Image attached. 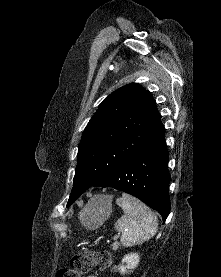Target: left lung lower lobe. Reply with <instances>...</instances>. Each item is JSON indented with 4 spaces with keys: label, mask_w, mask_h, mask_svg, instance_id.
Returning a JSON list of instances; mask_svg holds the SVG:
<instances>
[{
    "label": "left lung lower lobe",
    "mask_w": 221,
    "mask_h": 277,
    "mask_svg": "<svg viewBox=\"0 0 221 277\" xmlns=\"http://www.w3.org/2000/svg\"><path fill=\"white\" fill-rule=\"evenodd\" d=\"M164 132L163 127L153 138L91 187H112L131 194L158 211L165 221L170 212V174L167 170L169 155Z\"/></svg>",
    "instance_id": "left-lung-lower-lobe-1"
}]
</instances>
